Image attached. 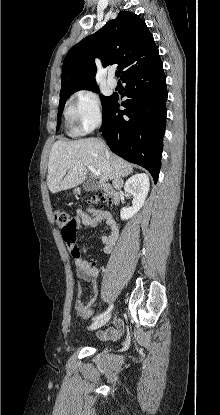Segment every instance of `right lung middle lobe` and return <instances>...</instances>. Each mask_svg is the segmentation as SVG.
Instances as JSON below:
<instances>
[{
  "label": "right lung middle lobe",
  "mask_w": 220,
  "mask_h": 415,
  "mask_svg": "<svg viewBox=\"0 0 220 415\" xmlns=\"http://www.w3.org/2000/svg\"><path fill=\"white\" fill-rule=\"evenodd\" d=\"M78 90H91V91H95V92H99V89L97 88L96 85H87V86H80V87H76L73 88L71 90H68L62 94H60V101H59V110H58V117H57V130L60 127V119H61V114L65 105V102L67 100V98L73 94L74 92L78 91ZM101 101H102V110H103V115L106 112V109L110 103L111 100V96L106 97L103 95H100Z\"/></svg>",
  "instance_id": "obj_1"
}]
</instances>
